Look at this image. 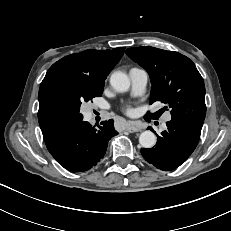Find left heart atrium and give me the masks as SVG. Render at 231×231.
I'll use <instances>...</instances> for the list:
<instances>
[{
  "label": "left heart atrium",
  "mask_w": 231,
  "mask_h": 231,
  "mask_svg": "<svg viewBox=\"0 0 231 231\" xmlns=\"http://www.w3.org/2000/svg\"><path fill=\"white\" fill-rule=\"evenodd\" d=\"M126 112H127V114H132V113H133V110H132L131 108L128 107V108L126 109Z\"/></svg>",
  "instance_id": "obj_1"
}]
</instances>
